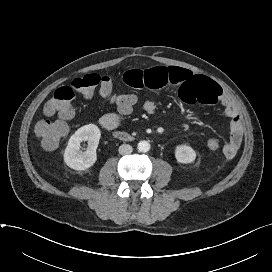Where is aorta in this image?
I'll list each match as a JSON object with an SVG mask.
<instances>
[{"label": "aorta", "instance_id": "1", "mask_svg": "<svg viewBox=\"0 0 272 272\" xmlns=\"http://www.w3.org/2000/svg\"><path fill=\"white\" fill-rule=\"evenodd\" d=\"M137 148L140 152L145 153L150 150V144L147 141H140Z\"/></svg>", "mask_w": 272, "mask_h": 272}]
</instances>
